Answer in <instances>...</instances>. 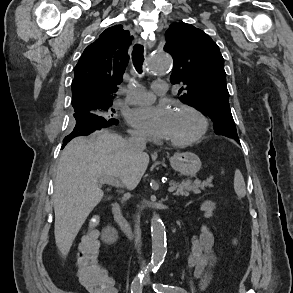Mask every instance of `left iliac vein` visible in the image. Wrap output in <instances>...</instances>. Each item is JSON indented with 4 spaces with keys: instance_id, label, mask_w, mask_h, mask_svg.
Wrapping results in <instances>:
<instances>
[{
    "instance_id": "left-iliac-vein-1",
    "label": "left iliac vein",
    "mask_w": 293,
    "mask_h": 293,
    "mask_svg": "<svg viewBox=\"0 0 293 293\" xmlns=\"http://www.w3.org/2000/svg\"><path fill=\"white\" fill-rule=\"evenodd\" d=\"M144 284H146V285H147V284H150V281H149V278H148V277L145 278V280H144Z\"/></svg>"
}]
</instances>
